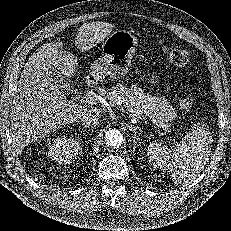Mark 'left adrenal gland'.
Masks as SVG:
<instances>
[{
    "instance_id": "obj_1",
    "label": "left adrenal gland",
    "mask_w": 231,
    "mask_h": 231,
    "mask_svg": "<svg viewBox=\"0 0 231 231\" xmlns=\"http://www.w3.org/2000/svg\"><path fill=\"white\" fill-rule=\"evenodd\" d=\"M129 129L133 132V147H136L137 141L139 140L138 138V132H137V128L134 125H131L129 127Z\"/></svg>"
}]
</instances>
